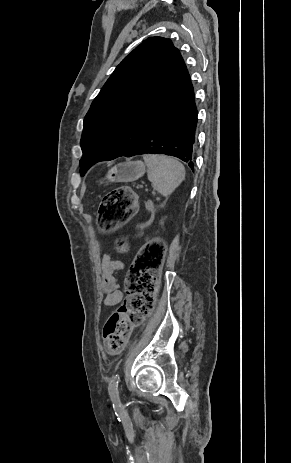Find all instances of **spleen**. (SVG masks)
Masks as SVG:
<instances>
[{
	"mask_svg": "<svg viewBox=\"0 0 291 463\" xmlns=\"http://www.w3.org/2000/svg\"><path fill=\"white\" fill-rule=\"evenodd\" d=\"M147 176L156 191L169 196L185 179L184 166L174 158L164 155H145Z\"/></svg>",
	"mask_w": 291,
	"mask_h": 463,
	"instance_id": "1",
	"label": "spleen"
}]
</instances>
